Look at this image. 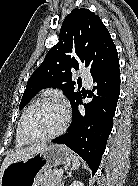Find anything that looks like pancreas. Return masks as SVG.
<instances>
[{"instance_id":"1","label":"pancreas","mask_w":138,"mask_h":186,"mask_svg":"<svg viewBox=\"0 0 138 186\" xmlns=\"http://www.w3.org/2000/svg\"><path fill=\"white\" fill-rule=\"evenodd\" d=\"M58 170H49L43 174H40L36 181L35 186H60L61 177L55 175Z\"/></svg>"}]
</instances>
